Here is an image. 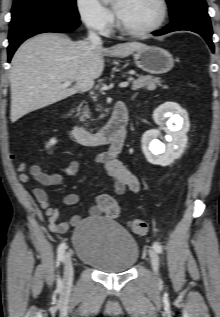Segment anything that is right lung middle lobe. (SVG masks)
<instances>
[{
    "label": "right lung middle lobe",
    "mask_w": 220,
    "mask_h": 317,
    "mask_svg": "<svg viewBox=\"0 0 220 317\" xmlns=\"http://www.w3.org/2000/svg\"><path fill=\"white\" fill-rule=\"evenodd\" d=\"M11 13V22L33 14H58L79 19L76 0H14Z\"/></svg>",
    "instance_id": "right-lung-middle-lobe-1"
}]
</instances>
